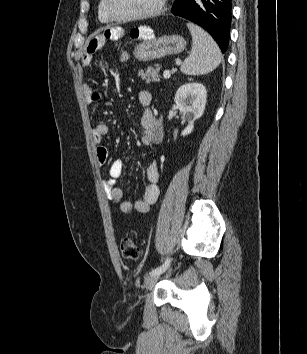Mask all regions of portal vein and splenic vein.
I'll return each instance as SVG.
<instances>
[{"label":"portal vein and splenic vein","mask_w":307,"mask_h":354,"mask_svg":"<svg viewBox=\"0 0 307 354\" xmlns=\"http://www.w3.org/2000/svg\"><path fill=\"white\" fill-rule=\"evenodd\" d=\"M170 76H171L170 71H169V70H165L164 73H163V77H164L165 79H169Z\"/></svg>","instance_id":"1"}]
</instances>
